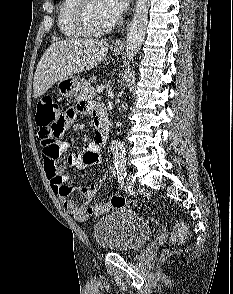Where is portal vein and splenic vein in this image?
<instances>
[{"label":"portal vein and splenic vein","instance_id":"obj_1","mask_svg":"<svg viewBox=\"0 0 233 294\" xmlns=\"http://www.w3.org/2000/svg\"><path fill=\"white\" fill-rule=\"evenodd\" d=\"M103 90H104V85H100L97 87L96 92L100 94L103 92Z\"/></svg>","mask_w":233,"mask_h":294}]
</instances>
